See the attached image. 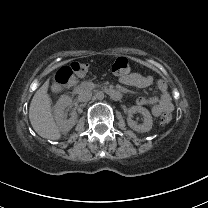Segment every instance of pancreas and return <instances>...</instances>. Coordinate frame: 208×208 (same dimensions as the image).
I'll return each mask as SVG.
<instances>
[{"label": "pancreas", "instance_id": "1", "mask_svg": "<svg viewBox=\"0 0 208 208\" xmlns=\"http://www.w3.org/2000/svg\"><path fill=\"white\" fill-rule=\"evenodd\" d=\"M82 85H87V82H83ZM99 87H100V85L95 84V88H99Z\"/></svg>", "mask_w": 208, "mask_h": 208}]
</instances>
